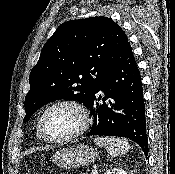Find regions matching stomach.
Returning a JSON list of instances; mask_svg holds the SVG:
<instances>
[{
  "label": "stomach",
  "mask_w": 175,
  "mask_h": 174,
  "mask_svg": "<svg viewBox=\"0 0 175 174\" xmlns=\"http://www.w3.org/2000/svg\"><path fill=\"white\" fill-rule=\"evenodd\" d=\"M98 152L91 146L79 144L60 149L52 156V162L61 168L87 166L95 161Z\"/></svg>",
  "instance_id": "stomach-1"
}]
</instances>
